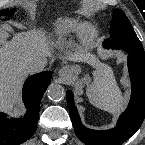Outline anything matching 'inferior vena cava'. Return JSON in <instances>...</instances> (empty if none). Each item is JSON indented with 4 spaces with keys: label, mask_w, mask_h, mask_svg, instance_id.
Instances as JSON below:
<instances>
[{
    "label": "inferior vena cava",
    "mask_w": 145,
    "mask_h": 145,
    "mask_svg": "<svg viewBox=\"0 0 145 145\" xmlns=\"http://www.w3.org/2000/svg\"><path fill=\"white\" fill-rule=\"evenodd\" d=\"M46 64H47V58L39 57L36 60L27 63L25 69L27 73H38L44 70Z\"/></svg>",
    "instance_id": "obj_1"
}]
</instances>
